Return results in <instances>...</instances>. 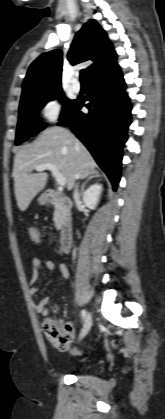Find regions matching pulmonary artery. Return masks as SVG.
<instances>
[{
    "instance_id": "obj_1",
    "label": "pulmonary artery",
    "mask_w": 165,
    "mask_h": 419,
    "mask_svg": "<svg viewBox=\"0 0 165 419\" xmlns=\"http://www.w3.org/2000/svg\"><path fill=\"white\" fill-rule=\"evenodd\" d=\"M72 90L74 91V92H79L80 90H81V85H80V83H79V81H75L73 84H72Z\"/></svg>"
}]
</instances>
